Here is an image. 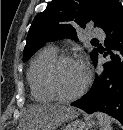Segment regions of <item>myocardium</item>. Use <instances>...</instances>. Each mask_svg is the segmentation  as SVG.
Returning <instances> with one entry per match:
<instances>
[{
  "label": "myocardium",
  "instance_id": "f54148a6",
  "mask_svg": "<svg viewBox=\"0 0 123 130\" xmlns=\"http://www.w3.org/2000/svg\"><path fill=\"white\" fill-rule=\"evenodd\" d=\"M65 61H75V59L68 54H60L53 59V61L50 63L47 69L46 83L49 91L56 100L61 102H71L80 98L87 91L91 83V75L89 71L85 70L86 78L82 87L73 94L70 95L63 94L57 85L56 74L59 66Z\"/></svg>",
  "mask_w": 123,
  "mask_h": 130
}]
</instances>
